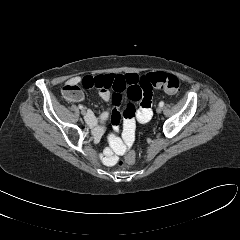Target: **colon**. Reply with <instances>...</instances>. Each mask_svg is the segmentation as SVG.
<instances>
[{
    "instance_id": "obj_1",
    "label": "colon",
    "mask_w": 240,
    "mask_h": 240,
    "mask_svg": "<svg viewBox=\"0 0 240 240\" xmlns=\"http://www.w3.org/2000/svg\"><path fill=\"white\" fill-rule=\"evenodd\" d=\"M149 84L156 89L165 91L171 95L179 94L181 90V83L178 77L173 74L165 72H152L146 76ZM63 95L67 99L77 98L81 95V89L78 84H66L63 88ZM128 97L131 101H138L139 93L135 87H131L128 90ZM136 109L133 103H129L124 112L123 116L125 120L134 119ZM127 140H130V133H127ZM136 154L133 150H129L123 159L119 161L121 166H130L135 162Z\"/></svg>"
}]
</instances>
